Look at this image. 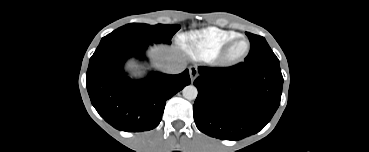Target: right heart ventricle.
<instances>
[{
    "label": "right heart ventricle",
    "mask_w": 369,
    "mask_h": 152,
    "mask_svg": "<svg viewBox=\"0 0 369 152\" xmlns=\"http://www.w3.org/2000/svg\"><path fill=\"white\" fill-rule=\"evenodd\" d=\"M239 34L234 31L209 27L188 34L194 53L204 59L216 57L223 47Z\"/></svg>",
    "instance_id": "obj_1"
}]
</instances>
